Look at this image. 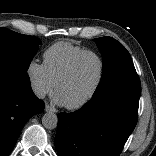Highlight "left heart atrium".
<instances>
[{
	"mask_svg": "<svg viewBox=\"0 0 156 156\" xmlns=\"http://www.w3.org/2000/svg\"><path fill=\"white\" fill-rule=\"evenodd\" d=\"M54 100L57 104L59 105H64L63 101L61 100V98L57 95V93L55 94Z\"/></svg>",
	"mask_w": 156,
	"mask_h": 156,
	"instance_id": "39dd6f15",
	"label": "left heart atrium"
}]
</instances>
